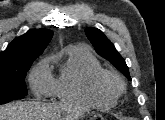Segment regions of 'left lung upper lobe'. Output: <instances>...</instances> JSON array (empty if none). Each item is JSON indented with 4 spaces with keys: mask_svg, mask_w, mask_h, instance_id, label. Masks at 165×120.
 Masks as SVG:
<instances>
[{
    "mask_svg": "<svg viewBox=\"0 0 165 120\" xmlns=\"http://www.w3.org/2000/svg\"><path fill=\"white\" fill-rule=\"evenodd\" d=\"M86 36L91 41L96 52L112 63L129 80H131L128 67L123 57L118 53L115 46L108 40L104 33L94 27L85 29Z\"/></svg>",
    "mask_w": 165,
    "mask_h": 120,
    "instance_id": "5c2ea615",
    "label": "left lung upper lobe"
}]
</instances>
